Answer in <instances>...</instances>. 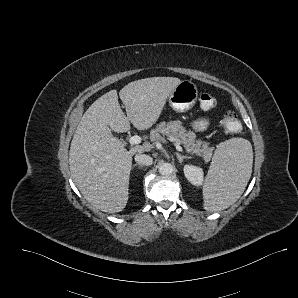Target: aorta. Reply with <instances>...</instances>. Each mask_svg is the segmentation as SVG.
Instances as JSON below:
<instances>
[{"label": "aorta", "instance_id": "1", "mask_svg": "<svg viewBox=\"0 0 298 298\" xmlns=\"http://www.w3.org/2000/svg\"><path fill=\"white\" fill-rule=\"evenodd\" d=\"M174 171V167L171 163L169 162H163L159 165L158 167V172L162 175V176H168L171 175Z\"/></svg>", "mask_w": 298, "mask_h": 298}]
</instances>
